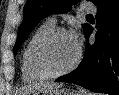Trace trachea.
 Listing matches in <instances>:
<instances>
[{"label": "trachea", "mask_w": 119, "mask_h": 95, "mask_svg": "<svg viewBox=\"0 0 119 95\" xmlns=\"http://www.w3.org/2000/svg\"><path fill=\"white\" fill-rule=\"evenodd\" d=\"M87 16H88V17H92V15H91V14H88Z\"/></svg>", "instance_id": "1"}]
</instances>
